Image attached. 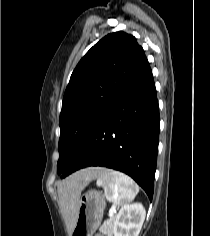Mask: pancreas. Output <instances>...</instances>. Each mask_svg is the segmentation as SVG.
<instances>
[{"label": "pancreas", "instance_id": "cf45deb5", "mask_svg": "<svg viewBox=\"0 0 210 236\" xmlns=\"http://www.w3.org/2000/svg\"><path fill=\"white\" fill-rule=\"evenodd\" d=\"M115 221V216L112 215L109 219L104 221L103 225L101 226L100 230L105 233L107 236H111V229L113 228Z\"/></svg>", "mask_w": 210, "mask_h": 236}]
</instances>
